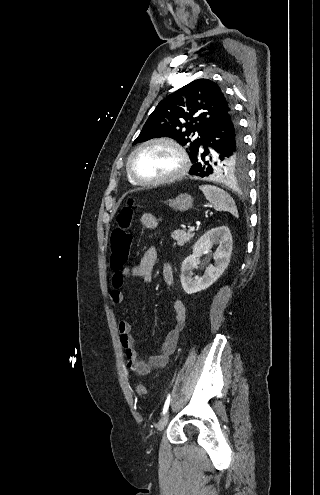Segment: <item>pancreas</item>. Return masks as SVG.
Masks as SVG:
<instances>
[{
  "label": "pancreas",
  "instance_id": "1",
  "mask_svg": "<svg viewBox=\"0 0 320 495\" xmlns=\"http://www.w3.org/2000/svg\"><path fill=\"white\" fill-rule=\"evenodd\" d=\"M193 236V233H186L183 230H175L171 233V237L177 242L179 246H183L186 242L190 241Z\"/></svg>",
  "mask_w": 320,
  "mask_h": 495
}]
</instances>
